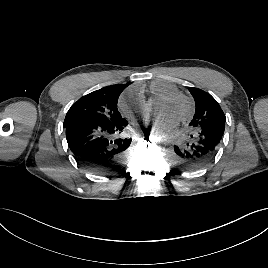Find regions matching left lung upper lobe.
Listing matches in <instances>:
<instances>
[{"label":"left lung upper lobe","mask_w":268,"mask_h":268,"mask_svg":"<svg viewBox=\"0 0 268 268\" xmlns=\"http://www.w3.org/2000/svg\"><path fill=\"white\" fill-rule=\"evenodd\" d=\"M189 91L196 104L194 117L189 124L192 132L208 124L226 121L219 103L209 93L194 87H189Z\"/></svg>","instance_id":"5c2ea615"}]
</instances>
